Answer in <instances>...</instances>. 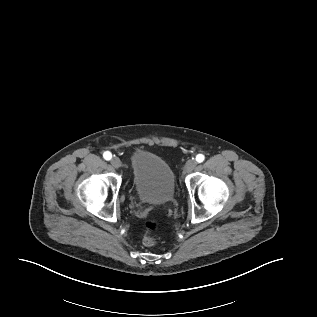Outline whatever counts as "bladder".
Masks as SVG:
<instances>
[{
	"instance_id": "obj_1",
	"label": "bladder",
	"mask_w": 317,
	"mask_h": 317,
	"mask_svg": "<svg viewBox=\"0 0 317 317\" xmlns=\"http://www.w3.org/2000/svg\"><path fill=\"white\" fill-rule=\"evenodd\" d=\"M132 180L138 198L147 204L163 205L173 200L175 174L161 157L137 151L131 157Z\"/></svg>"
}]
</instances>
